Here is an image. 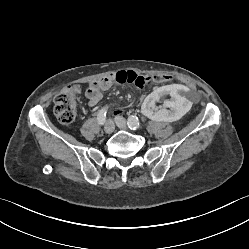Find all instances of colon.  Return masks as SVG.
I'll return each instance as SVG.
<instances>
[{"label": "colon", "mask_w": 249, "mask_h": 249, "mask_svg": "<svg viewBox=\"0 0 249 249\" xmlns=\"http://www.w3.org/2000/svg\"><path fill=\"white\" fill-rule=\"evenodd\" d=\"M153 81L158 82H173L176 83L178 78L172 75H160L152 74L151 76L142 77L134 76L131 79V83L139 88L143 89ZM81 94V88L79 85L73 84L65 87L54 98V114L57 119L65 125L72 124L76 119L77 103Z\"/></svg>", "instance_id": "5ec220e1"}]
</instances>
